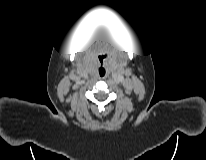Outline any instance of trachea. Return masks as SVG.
<instances>
[{"instance_id":"obj_1","label":"trachea","mask_w":206,"mask_h":160,"mask_svg":"<svg viewBox=\"0 0 206 160\" xmlns=\"http://www.w3.org/2000/svg\"><path fill=\"white\" fill-rule=\"evenodd\" d=\"M105 74L104 70H100V75L103 76Z\"/></svg>"}]
</instances>
